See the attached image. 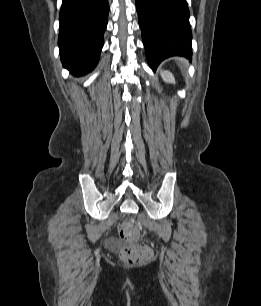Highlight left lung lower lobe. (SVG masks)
I'll list each match as a JSON object with an SVG mask.
<instances>
[{"instance_id": "obj_1", "label": "left lung lower lobe", "mask_w": 261, "mask_h": 306, "mask_svg": "<svg viewBox=\"0 0 261 306\" xmlns=\"http://www.w3.org/2000/svg\"><path fill=\"white\" fill-rule=\"evenodd\" d=\"M147 61L156 67L171 56L192 55L186 0H136Z\"/></svg>"}]
</instances>
